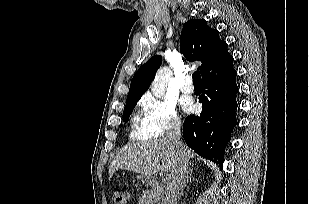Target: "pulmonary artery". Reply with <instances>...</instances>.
<instances>
[{"mask_svg":"<svg viewBox=\"0 0 309 204\" xmlns=\"http://www.w3.org/2000/svg\"><path fill=\"white\" fill-rule=\"evenodd\" d=\"M180 90L185 94H191L194 92V86L192 84L191 77L186 76L181 84H180Z\"/></svg>","mask_w":309,"mask_h":204,"instance_id":"obj_1","label":"pulmonary artery"}]
</instances>
